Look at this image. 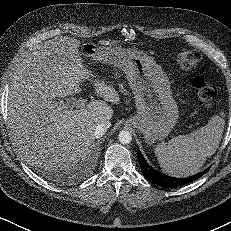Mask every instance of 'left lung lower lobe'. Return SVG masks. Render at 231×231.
I'll use <instances>...</instances> for the list:
<instances>
[{
	"label": "left lung lower lobe",
	"instance_id": "0a47b994",
	"mask_svg": "<svg viewBox=\"0 0 231 231\" xmlns=\"http://www.w3.org/2000/svg\"><path fill=\"white\" fill-rule=\"evenodd\" d=\"M137 157H138V161H139L143 175L152 183L159 185V186L166 187V188H176V187L185 185L187 183L193 182L194 180L203 176L209 170L208 168L196 175H193L187 178H174V177L167 176L153 169L151 166H149V164L146 162V160L142 156V153L140 152V150H138L137 152Z\"/></svg>",
	"mask_w": 231,
	"mask_h": 231
}]
</instances>
